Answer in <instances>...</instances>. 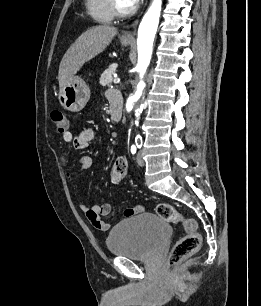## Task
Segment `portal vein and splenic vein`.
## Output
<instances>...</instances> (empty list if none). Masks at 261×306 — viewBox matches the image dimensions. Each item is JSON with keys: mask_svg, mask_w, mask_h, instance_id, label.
Returning <instances> with one entry per match:
<instances>
[{"mask_svg": "<svg viewBox=\"0 0 261 306\" xmlns=\"http://www.w3.org/2000/svg\"><path fill=\"white\" fill-rule=\"evenodd\" d=\"M114 84H118L120 83V78L116 77L114 80H113Z\"/></svg>", "mask_w": 261, "mask_h": 306, "instance_id": "18ae733b", "label": "portal vein and splenic vein"}]
</instances>
